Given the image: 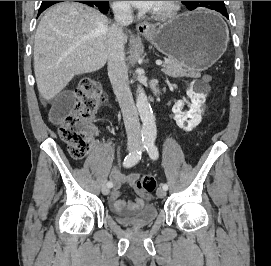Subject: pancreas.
Returning <instances> with one entry per match:
<instances>
[{
  "label": "pancreas",
  "mask_w": 271,
  "mask_h": 266,
  "mask_svg": "<svg viewBox=\"0 0 271 266\" xmlns=\"http://www.w3.org/2000/svg\"><path fill=\"white\" fill-rule=\"evenodd\" d=\"M162 72L173 78H177L180 76L200 75V73L196 71L189 73L187 65L173 58H169L165 61V63L162 65Z\"/></svg>",
  "instance_id": "pancreas-1"
}]
</instances>
